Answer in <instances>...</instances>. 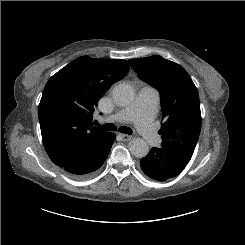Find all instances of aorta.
Masks as SVG:
<instances>
[{
  "instance_id": "obj_1",
  "label": "aorta",
  "mask_w": 245,
  "mask_h": 245,
  "mask_svg": "<svg viewBox=\"0 0 245 245\" xmlns=\"http://www.w3.org/2000/svg\"><path fill=\"white\" fill-rule=\"evenodd\" d=\"M134 89L128 84H118L113 89V99L119 106H127L134 99ZM130 152L137 158L147 156L149 152L148 144L141 138H134L130 143Z\"/></svg>"
}]
</instances>
